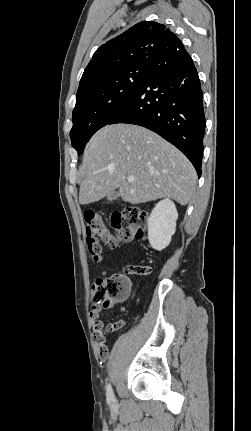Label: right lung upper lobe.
Here are the masks:
<instances>
[{
	"mask_svg": "<svg viewBox=\"0 0 251 431\" xmlns=\"http://www.w3.org/2000/svg\"><path fill=\"white\" fill-rule=\"evenodd\" d=\"M183 47L180 39L165 25L139 22L97 49L84 70L77 92L127 68L148 66L154 57Z\"/></svg>",
	"mask_w": 251,
	"mask_h": 431,
	"instance_id": "1",
	"label": "right lung upper lobe"
}]
</instances>
